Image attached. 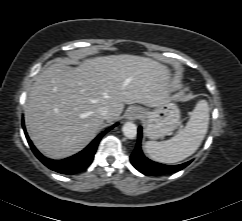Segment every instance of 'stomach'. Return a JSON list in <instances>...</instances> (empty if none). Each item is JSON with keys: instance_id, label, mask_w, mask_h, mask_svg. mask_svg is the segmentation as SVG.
Masks as SVG:
<instances>
[{"instance_id": "stomach-1", "label": "stomach", "mask_w": 242, "mask_h": 221, "mask_svg": "<svg viewBox=\"0 0 242 221\" xmlns=\"http://www.w3.org/2000/svg\"><path fill=\"white\" fill-rule=\"evenodd\" d=\"M142 119L146 127V136L159 139L171 134L180 123V110L175 103L168 102L152 111L143 109Z\"/></svg>"}]
</instances>
